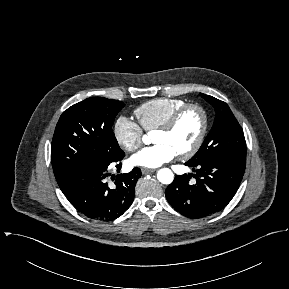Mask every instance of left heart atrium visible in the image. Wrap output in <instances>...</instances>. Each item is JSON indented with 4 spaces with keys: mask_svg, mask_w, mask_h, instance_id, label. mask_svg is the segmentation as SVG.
Segmentation results:
<instances>
[{
    "mask_svg": "<svg viewBox=\"0 0 289 289\" xmlns=\"http://www.w3.org/2000/svg\"><path fill=\"white\" fill-rule=\"evenodd\" d=\"M177 156L175 150L167 144L159 143L145 147L131 156L132 165L155 168L171 161Z\"/></svg>",
    "mask_w": 289,
    "mask_h": 289,
    "instance_id": "obj_1",
    "label": "left heart atrium"
}]
</instances>
